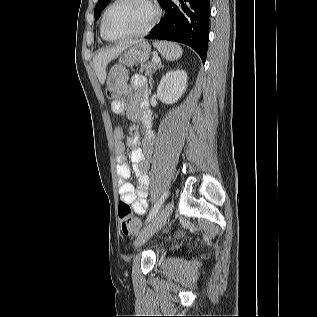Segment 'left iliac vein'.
Instances as JSON below:
<instances>
[{"instance_id":"left-iliac-vein-1","label":"left iliac vein","mask_w":317,"mask_h":317,"mask_svg":"<svg viewBox=\"0 0 317 317\" xmlns=\"http://www.w3.org/2000/svg\"><path fill=\"white\" fill-rule=\"evenodd\" d=\"M173 207V202L166 204V206L155 216L151 223L140 233L135 241L136 247L143 245L167 221L173 211Z\"/></svg>"}]
</instances>
